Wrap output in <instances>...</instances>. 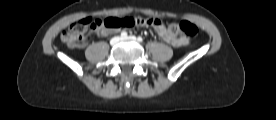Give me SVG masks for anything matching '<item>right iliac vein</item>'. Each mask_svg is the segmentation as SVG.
<instances>
[{
    "label": "right iliac vein",
    "instance_id": "obj_1",
    "mask_svg": "<svg viewBox=\"0 0 276 120\" xmlns=\"http://www.w3.org/2000/svg\"><path fill=\"white\" fill-rule=\"evenodd\" d=\"M120 38L119 37H114L112 40H111V44L112 45H116L118 42H119Z\"/></svg>",
    "mask_w": 276,
    "mask_h": 120
}]
</instances>
